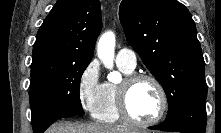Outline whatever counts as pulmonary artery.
Here are the masks:
<instances>
[{
    "instance_id": "1",
    "label": "pulmonary artery",
    "mask_w": 221,
    "mask_h": 133,
    "mask_svg": "<svg viewBox=\"0 0 221 133\" xmlns=\"http://www.w3.org/2000/svg\"><path fill=\"white\" fill-rule=\"evenodd\" d=\"M116 62L119 65L134 70L137 65V57L132 50L121 49L116 55Z\"/></svg>"
}]
</instances>
